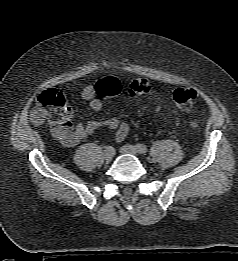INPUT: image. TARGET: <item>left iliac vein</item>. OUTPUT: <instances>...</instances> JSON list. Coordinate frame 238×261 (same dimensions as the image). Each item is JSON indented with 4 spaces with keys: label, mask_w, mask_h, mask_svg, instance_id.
<instances>
[{
    "label": "left iliac vein",
    "mask_w": 238,
    "mask_h": 261,
    "mask_svg": "<svg viewBox=\"0 0 238 261\" xmlns=\"http://www.w3.org/2000/svg\"><path fill=\"white\" fill-rule=\"evenodd\" d=\"M120 152L123 154H132L138 156V151L135 146L133 145H124L121 147Z\"/></svg>",
    "instance_id": "obj_1"
}]
</instances>
